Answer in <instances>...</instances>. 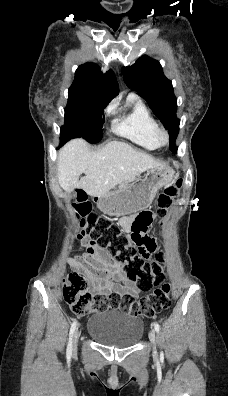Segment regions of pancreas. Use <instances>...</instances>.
Returning a JSON list of instances; mask_svg holds the SVG:
<instances>
[{
	"label": "pancreas",
	"instance_id": "1",
	"mask_svg": "<svg viewBox=\"0 0 228 396\" xmlns=\"http://www.w3.org/2000/svg\"><path fill=\"white\" fill-rule=\"evenodd\" d=\"M131 181H132V180H127V181H125L124 183H121L120 186H119L120 189L126 188L127 185H128V183L131 182Z\"/></svg>",
	"mask_w": 228,
	"mask_h": 396
}]
</instances>
